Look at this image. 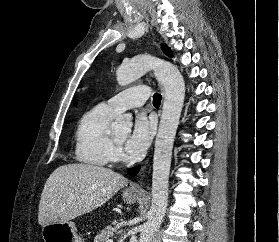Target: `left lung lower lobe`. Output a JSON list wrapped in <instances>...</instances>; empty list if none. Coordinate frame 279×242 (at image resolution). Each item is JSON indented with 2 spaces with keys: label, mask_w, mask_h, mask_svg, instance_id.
Segmentation results:
<instances>
[{
  "label": "left lung lower lobe",
  "mask_w": 279,
  "mask_h": 242,
  "mask_svg": "<svg viewBox=\"0 0 279 242\" xmlns=\"http://www.w3.org/2000/svg\"><path fill=\"white\" fill-rule=\"evenodd\" d=\"M139 168L140 167H133L128 170V173L133 176V175L137 174V172L139 171Z\"/></svg>",
  "instance_id": "obj_1"
}]
</instances>
